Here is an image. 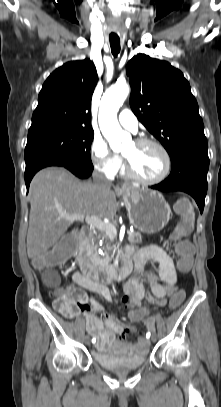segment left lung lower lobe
<instances>
[{
  "label": "left lung lower lobe",
  "mask_w": 221,
  "mask_h": 407,
  "mask_svg": "<svg viewBox=\"0 0 221 407\" xmlns=\"http://www.w3.org/2000/svg\"><path fill=\"white\" fill-rule=\"evenodd\" d=\"M207 145H194L184 149L171 163L167 179L151 188L159 191H183L190 194L203 212L207 192L209 168Z\"/></svg>",
  "instance_id": "obj_1"
}]
</instances>
